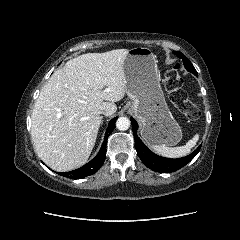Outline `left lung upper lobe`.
<instances>
[{
    "label": "left lung upper lobe",
    "instance_id": "1",
    "mask_svg": "<svg viewBox=\"0 0 240 240\" xmlns=\"http://www.w3.org/2000/svg\"><path fill=\"white\" fill-rule=\"evenodd\" d=\"M174 54H176L179 58L183 60L184 66L187 69V71L193 73L194 75L197 74V71L195 70L194 66L190 62V60L181 52L179 51H173Z\"/></svg>",
    "mask_w": 240,
    "mask_h": 240
}]
</instances>
